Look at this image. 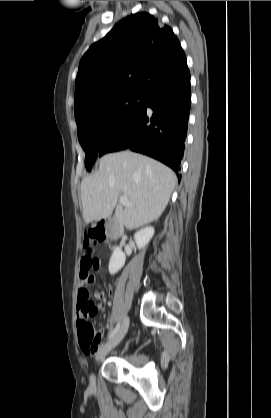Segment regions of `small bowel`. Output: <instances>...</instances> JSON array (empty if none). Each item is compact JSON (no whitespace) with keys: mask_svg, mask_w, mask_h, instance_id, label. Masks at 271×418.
<instances>
[{"mask_svg":"<svg viewBox=\"0 0 271 418\" xmlns=\"http://www.w3.org/2000/svg\"><path fill=\"white\" fill-rule=\"evenodd\" d=\"M98 269L99 264L97 262V266H90L89 260L84 257L81 260L80 264V286L78 290V297H77V308H78V321L80 323H93L94 322V315L98 314V312L103 308L102 304H98L95 299H90L89 291L86 289V285L93 280V277L90 275V270ZM94 298L102 299L104 297V292L102 289L97 290L94 293ZM100 341V338H99ZM99 342L94 349L91 350H83L86 355H94L98 349Z\"/></svg>","mask_w":271,"mask_h":418,"instance_id":"obj_1","label":"small bowel"}]
</instances>
